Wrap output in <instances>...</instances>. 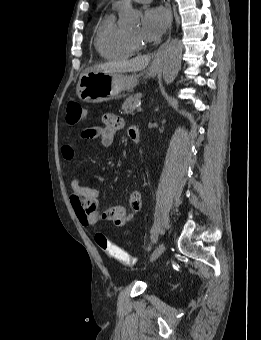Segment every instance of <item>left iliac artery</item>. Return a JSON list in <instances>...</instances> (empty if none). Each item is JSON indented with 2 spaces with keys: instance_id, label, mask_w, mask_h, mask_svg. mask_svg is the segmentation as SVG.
Returning a JSON list of instances; mask_svg holds the SVG:
<instances>
[{
  "instance_id": "44dca946",
  "label": "left iliac artery",
  "mask_w": 261,
  "mask_h": 340,
  "mask_svg": "<svg viewBox=\"0 0 261 340\" xmlns=\"http://www.w3.org/2000/svg\"><path fill=\"white\" fill-rule=\"evenodd\" d=\"M159 240V235L158 233H152L151 235V242L156 245L158 243Z\"/></svg>"
}]
</instances>
